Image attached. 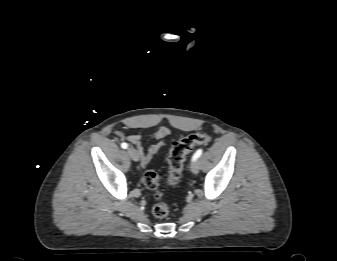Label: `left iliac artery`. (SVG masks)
Listing matches in <instances>:
<instances>
[{
	"label": "left iliac artery",
	"instance_id": "obj_1",
	"mask_svg": "<svg viewBox=\"0 0 337 261\" xmlns=\"http://www.w3.org/2000/svg\"><path fill=\"white\" fill-rule=\"evenodd\" d=\"M202 152H203L202 149H198V150L194 153V155H193V157H192V161L197 160V159L202 155Z\"/></svg>",
	"mask_w": 337,
	"mask_h": 261
}]
</instances>
